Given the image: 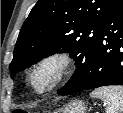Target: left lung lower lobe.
Listing matches in <instances>:
<instances>
[{"mask_svg":"<svg viewBox=\"0 0 123 113\" xmlns=\"http://www.w3.org/2000/svg\"><path fill=\"white\" fill-rule=\"evenodd\" d=\"M107 85H123V0H113L101 23L99 38L84 80L60 95Z\"/></svg>","mask_w":123,"mask_h":113,"instance_id":"1","label":"left lung lower lobe"}]
</instances>
